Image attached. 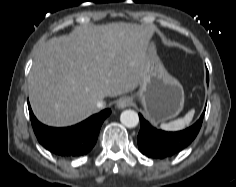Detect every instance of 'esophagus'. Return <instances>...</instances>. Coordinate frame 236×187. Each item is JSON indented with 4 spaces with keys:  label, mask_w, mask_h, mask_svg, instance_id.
I'll return each instance as SVG.
<instances>
[{
    "label": "esophagus",
    "mask_w": 236,
    "mask_h": 187,
    "mask_svg": "<svg viewBox=\"0 0 236 187\" xmlns=\"http://www.w3.org/2000/svg\"><path fill=\"white\" fill-rule=\"evenodd\" d=\"M131 104H132V100L130 98L123 97L117 101L116 105L118 108L123 109L130 106Z\"/></svg>",
    "instance_id": "esophagus-1"
}]
</instances>
